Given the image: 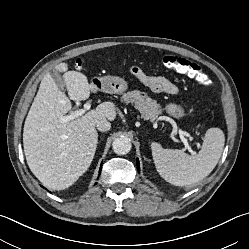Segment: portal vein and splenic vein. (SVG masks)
<instances>
[{"instance_id":"18ae733b","label":"portal vein and splenic vein","mask_w":249,"mask_h":249,"mask_svg":"<svg viewBox=\"0 0 249 249\" xmlns=\"http://www.w3.org/2000/svg\"><path fill=\"white\" fill-rule=\"evenodd\" d=\"M91 108V104L90 103H86L84 105V108L82 109H77L75 110L74 112L70 113L69 115H66V116H63L60 118V121L61 122H69L71 120H74L75 118H78L80 116H82L87 110H89ZM179 133L182 135V136H186L188 137L190 140H193L194 138L187 132L185 131H182L180 130ZM182 142L184 143L185 145V149H188V151L191 153V154H195V152L191 149V147L188 145V142L185 138H182Z\"/></svg>"}]
</instances>
